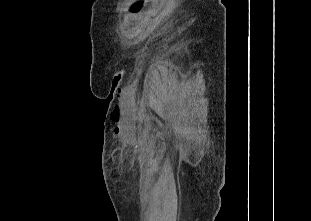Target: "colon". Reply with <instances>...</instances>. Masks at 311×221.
Segmentation results:
<instances>
[{"mask_svg": "<svg viewBox=\"0 0 311 221\" xmlns=\"http://www.w3.org/2000/svg\"><path fill=\"white\" fill-rule=\"evenodd\" d=\"M142 5H143V0H132L129 5V9L132 12H137L142 8Z\"/></svg>", "mask_w": 311, "mask_h": 221, "instance_id": "colon-1", "label": "colon"}]
</instances>
